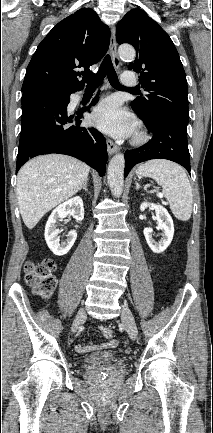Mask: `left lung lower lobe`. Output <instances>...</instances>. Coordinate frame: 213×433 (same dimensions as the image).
I'll return each instance as SVG.
<instances>
[{"label": "left lung lower lobe", "instance_id": "1", "mask_svg": "<svg viewBox=\"0 0 213 433\" xmlns=\"http://www.w3.org/2000/svg\"><path fill=\"white\" fill-rule=\"evenodd\" d=\"M141 119L147 129L153 133V137L145 145L125 152V176L134 165L151 159L174 161L190 173L188 122L170 114L158 115L151 119L141 117Z\"/></svg>", "mask_w": 213, "mask_h": 433}]
</instances>
